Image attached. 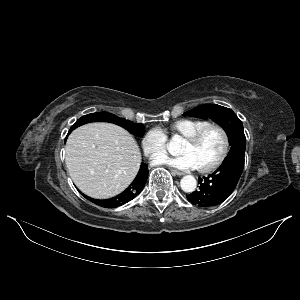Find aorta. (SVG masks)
<instances>
[{
	"mask_svg": "<svg viewBox=\"0 0 300 300\" xmlns=\"http://www.w3.org/2000/svg\"><path fill=\"white\" fill-rule=\"evenodd\" d=\"M179 143V138L175 136L170 141V147L172 149H177L179 147ZM180 186L184 192L191 193L195 191L197 187V181L192 175H186L181 179Z\"/></svg>",
	"mask_w": 300,
	"mask_h": 300,
	"instance_id": "aorta-1",
	"label": "aorta"
}]
</instances>
